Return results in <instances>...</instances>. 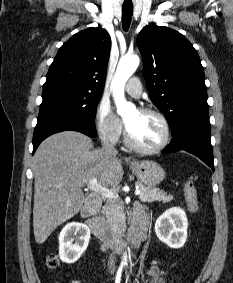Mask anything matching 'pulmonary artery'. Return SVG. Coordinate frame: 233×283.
<instances>
[{"mask_svg":"<svg viewBox=\"0 0 233 283\" xmlns=\"http://www.w3.org/2000/svg\"><path fill=\"white\" fill-rule=\"evenodd\" d=\"M126 92L131 95L132 97L138 98L142 94V86L137 77L131 78L126 86H125Z\"/></svg>","mask_w":233,"mask_h":283,"instance_id":"obj_1","label":"pulmonary artery"}]
</instances>
